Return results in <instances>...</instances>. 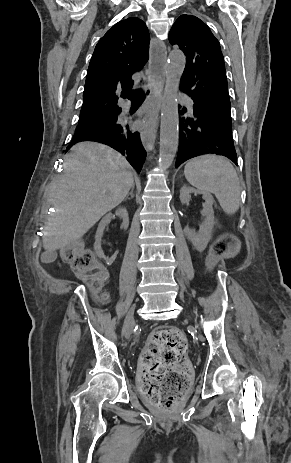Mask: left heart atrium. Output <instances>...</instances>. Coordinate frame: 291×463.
Listing matches in <instances>:
<instances>
[{
  "label": "left heart atrium",
  "mask_w": 291,
  "mask_h": 463,
  "mask_svg": "<svg viewBox=\"0 0 291 463\" xmlns=\"http://www.w3.org/2000/svg\"><path fill=\"white\" fill-rule=\"evenodd\" d=\"M138 126L142 130H148L150 128V126H151V122L148 119H146L144 121H140L138 123Z\"/></svg>",
  "instance_id": "1"
}]
</instances>
